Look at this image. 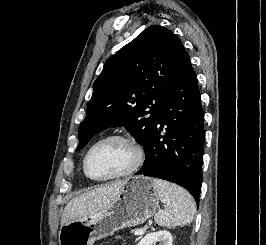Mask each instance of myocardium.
<instances>
[{
  "label": "myocardium",
  "instance_id": "1",
  "mask_svg": "<svg viewBox=\"0 0 266 245\" xmlns=\"http://www.w3.org/2000/svg\"><path fill=\"white\" fill-rule=\"evenodd\" d=\"M111 139H118V140L129 143L134 148V152H135L134 161H133L132 165L130 166V168L122 174H119V175L113 176V177H108V178H97V177L91 175L89 170H88V160H89L90 154L92 153V151L95 149V147L97 145H99L100 143H102L104 141L111 140ZM143 158H144V150H143V147L141 146V144L137 140H135L134 138L129 137L125 134L111 133V134H107V135L99 138L97 141H95L88 148V150L86 151L84 158H83V170H84V173L86 174V176L93 181L110 182V181L124 179V178L134 174L139 169V167L141 166V164L143 162Z\"/></svg>",
  "mask_w": 266,
  "mask_h": 245
}]
</instances>
